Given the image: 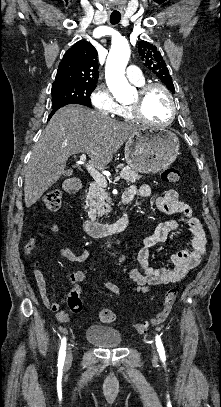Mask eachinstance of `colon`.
Listing matches in <instances>:
<instances>
[{
  "instance_id": "1",
  "label": "colon",
  "mask_w": 221,
  "mask_h": 407,
  "mask_svg": "<svg viewBox=\"0 0 221 407\" xmlns=\"http://www.w3.org/2000/svg\"><path fill=\"white\" fill-rule=\"evenodd\" d=\"M161 179L167 184H176L181 179V171L177 166H169L163 170ZM62 192L60 190H49L45 193L44 203L51 211H58L61 206ZM72 299L69 301L68 306L72 312L79 313L82 311V301L80 299L78 289L72 288ZM177 298V290L169 288L166 290L163 300L162 309L150 320L149 322H139L135 325V330L138 334H145L149 331L150 326L164 322L171 313L172 307ZM99 318L102 322L111 323L115 320L116 315L113 310L102 309L99 311Z\"/></svg>"
}]
</instances>
